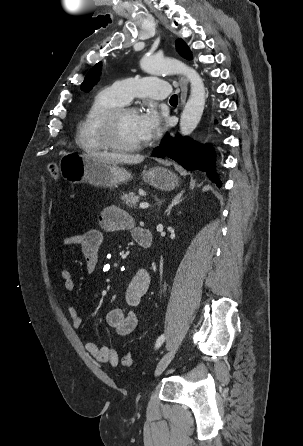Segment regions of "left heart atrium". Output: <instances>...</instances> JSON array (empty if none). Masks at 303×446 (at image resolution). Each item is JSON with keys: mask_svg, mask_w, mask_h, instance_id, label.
Wrapping results in <instances>:
<instances>
[{"mask_svg": "<svg viewBox=\"0 0 303 446\" xmlns=\"http://www.w3.org/2000/svg\"><path fill=\"white\" fill-rule=\"evenodd\" d=\"M136 123L139 136L143 141L158 138L165 129V118L154 108L137 114Z\"/></svg>", "mask_w": 303, "mask_h": 446, "instance_id": "obj_1", "label": "left heart atrium"}]
</instances>
